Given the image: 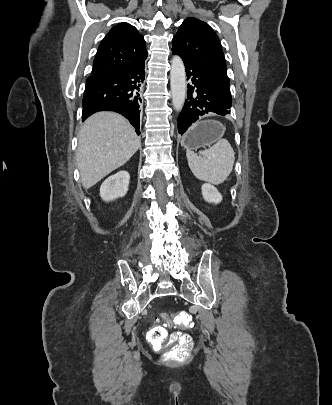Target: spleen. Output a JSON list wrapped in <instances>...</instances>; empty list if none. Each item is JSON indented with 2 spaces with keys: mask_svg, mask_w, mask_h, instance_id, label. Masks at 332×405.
Masks as SVG:
<instances>
[{
  "mask_svg": "<svg viewBox=\"0 0 332 405\" xmlns=\"http://www.w3.org/2000/svg\"><path fill=\"white\" fill-rule=\"evenodd\" d=\"M189 168L193 175L214 185L222 184L231 174L235 153L229 142L222 138L199 155L191 150L186 152Z\"/></svg>",
  "mask_w": 332,
  "mask_h": 405,
  "instance_id": "obj_1",
  "label": "spleen"
}]
</instances>
